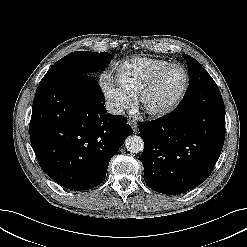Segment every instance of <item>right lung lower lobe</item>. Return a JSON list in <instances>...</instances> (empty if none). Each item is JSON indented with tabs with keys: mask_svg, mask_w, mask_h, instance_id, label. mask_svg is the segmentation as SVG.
I'll return each instance as SVG.
<instances>
[{
	"mask_svg": "<svg viewBox=\"0 0 247 247\" xmlns=\"http://www.w3.org/2000/svg\"><path fill=\"white\" fill-rule=\"evenodd\" d=\"M104 95L90 75L63 73L42 79L36 90L30 140L42 170L65 188L98 186L110 159L132 128L107 113Z\"/></svg>",
	"mask_w": 247,
	"mask_h": 247,
	"instance_id": "1",
	"label": "right lung lower lobe"
}]
</instances>
